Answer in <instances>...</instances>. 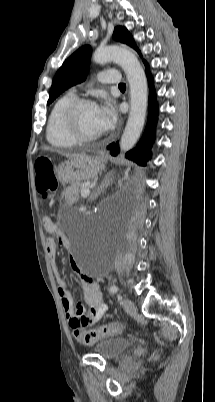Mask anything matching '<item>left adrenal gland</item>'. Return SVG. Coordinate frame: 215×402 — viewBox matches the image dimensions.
Wrapping results in <instances>:
<instances>
[{
    "instance_id": "a2214340",
    "label": "left adrenal gland",
    "mask_w": 215,
    "mask_h": 402,
    "mask_svg": "<svg viewBox=\"0 0 215 402\" xmlns=\"http://www.w3.org/2000/svg\"><path fill=\"white\" fill-rule=\"evenodd\" d=\"M111 182H112V173H108L103 178L101 184L99 186H97V188H95V190L93 191V193L90 196V199L91 200L97 199L98 196L107 189V187L111 184Z\"/></svg>"
}]
</instances>
